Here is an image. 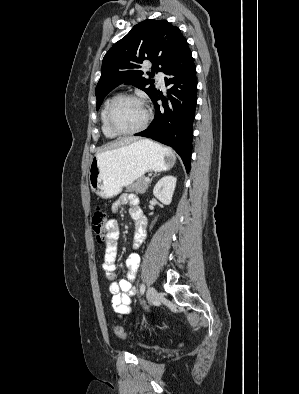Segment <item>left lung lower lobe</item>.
Listing matches in <instances>:
<instances>
[{"label": "left lung lower lobe", "instance_id": "1", "mask_svg": "<svg viewBox=\"0 0 299 394\" xmlns=\"http://www.w3.org/2000/svg\"><path fill=\"white\" fill-rule=\"evenodd\" d=\"M169 87L166 96L160 91L152 99L155 117L151 125L136 136L148 137L172 147L190 170L192 151V123L197 102L196 67L188 44L177 59L164 71ZM162 100V105L157 101Z\"/></svg>", "mask_w": 299, "mask_h": 394}]
</instances>
